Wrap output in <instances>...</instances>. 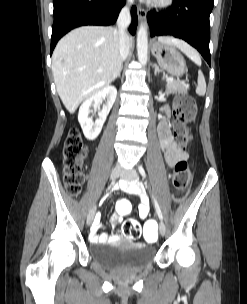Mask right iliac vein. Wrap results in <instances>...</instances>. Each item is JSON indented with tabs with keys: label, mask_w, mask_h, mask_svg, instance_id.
I'll list each match as a JSON object with an SVG mask.
<instances>
[{
	"label": "right iliac vein",
	"mask_w": 247,
	"mask_h": 304,
	"mask_svg": "<svg viewBox=\"0 0 247 304\" xmlns=\"http://www.w3.org/2000/svg\"><path fill=\"white\" fill-rule=\"evenodd\" d=\"M122 173V170L120 167H114L111 171V174H110V179L111 180H114L116 178H118ZM95 213H96V206H92V208L90 209L89 213H88V216H87V225H91L94 217H95Z\"/></svg>",
	"instance_id": "63e3f726"
}]
</instances>
